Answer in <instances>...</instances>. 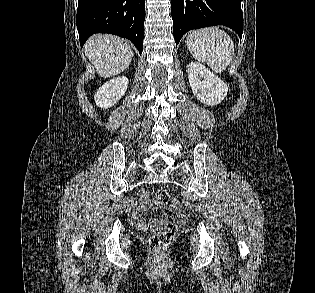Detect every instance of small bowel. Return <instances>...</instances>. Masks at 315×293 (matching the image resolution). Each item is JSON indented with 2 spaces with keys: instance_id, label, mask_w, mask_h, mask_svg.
I'll return each mask as SVG.
<instances>
[{
  "instance_id": "c3829d8e",
  "label": "small bowel",
  "mask_w": 315,
  "mask_h": 293,
  "mask_svg": "<svg viewBox=\"0 0 315 293\" xmlns=\"http://www.w3.org/2000/svg\"><path fill=\"white\" fill-rule=\"evenodd\" d=\"M149 191L145 190L139 199L138 205L133 212V223L136 228L140 230H145L147 224L144 220L143 214L151 208H167V205H162L154 201L149 200ZM168 220L166 213H160L158 216H155L150 219L149 226L151 230H161L162 224Z\"/></svg>"
}]
</instances>
